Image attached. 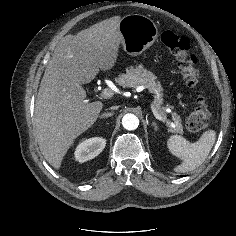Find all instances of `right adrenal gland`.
<instances>
[{
	"label": "right adrenal gland",
	"instance_id": "obj_1",
	"mask_svg": "<svg viewBox=\"0 0 236 236\" xmlns=\"http://www.w3.org/2000/svg\"><path fill=\"white\" fill-rule=\"evenodd\" d=\"M113 114H114L113 112H110V113H104L103 115L100 116V119L111 117V116H113Z\"/></svg>",
	"mask_w": 236,
	"mask_h": 236
}]
</instances>
